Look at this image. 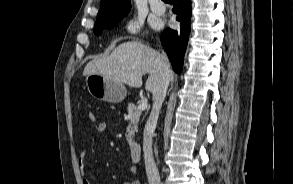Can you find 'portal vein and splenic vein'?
I'll list each match as a JSON object with an SVG mask.
<instances>
[{
	"label": "portal vein and splenic vein",
	"instance_id": "18ae733b",
	"mask_svg": "<svg viewBox=\"0 0 293 184\" xmlns=\"http://www.w3.org/2000/svg\"><path fill=\"white\" fill-rule=\"evenodd\" d=\"M147 106H148L147 101H142V102L140 103V105L138 106V109H139L140 111H143V110H145V109L147 108Z\"/></svg>",
	"mask_w": 293,
	"mask_h": 184
}]
</instances>
